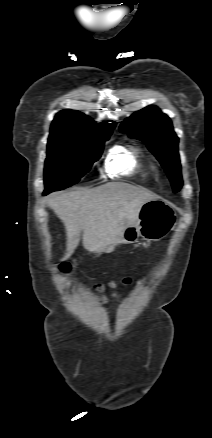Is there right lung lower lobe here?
I'll use <instances>...</instances> for the list:
<instances>
[{
    "label": "right lung lower lobe",
    "mask_w": 212,
    "mask_h": 438,
    "mask_svg": "<svg viewBox=\"0 0 212 438\" xmlns=\"http://www.w3.org/2000/svg\"><path fill=\"white\" fill-rule=\"evenodd\" d=\"M51 192V190L50 189H45V191H44V193H43V195H47L48 193H50Z\"/></svg>",
    "instance_id": "1"
}]
</instances>
